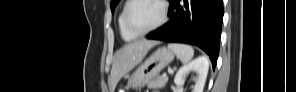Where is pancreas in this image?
<instances>
[{
	"label": "pancreas",
	"mask_w": 296,
	"mask_h": 92,
	"mask_svg": "<svg viewBox=\"0 0 296 92\" xmlns=\"http://www.w3.org/2000/svg\"><path fill=\"white\" fill-rule=\"evenodd\" d=\"M168 82V77H156L155 79L149 81L147 83L148 88L151 89H160L165 87L166 83Z\"/></svg>",
	"instance_id": "obj_1"
}]
</instances>
